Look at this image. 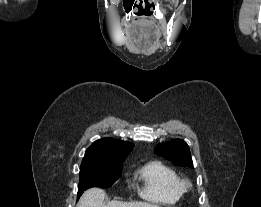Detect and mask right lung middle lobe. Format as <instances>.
Instances as JSON below:
<instances>
[{
    "label": "right lung middle lobe",
    "instance_id": "dd1d6c3e",
    "mask_svg": "<svg viewBox=\"0 0 261 207\" xmlns=\"http://www.w3.org/2000/svg\"><path fill=\"white\" fill-rule=\"evenodd\" d=\"M126 157L114 160L109 164L85 165L80 167V183L77 198L84 190L92 187L108 188L121 177L122 163Z\"/></svg>",
    "mask_w": 261,
    "mask_h": 207
}]
</instances>
